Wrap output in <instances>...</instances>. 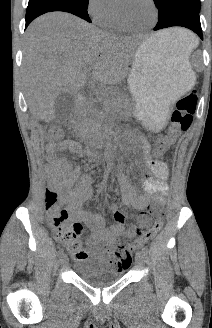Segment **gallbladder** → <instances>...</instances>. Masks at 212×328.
Returning <instances> with one entry per match:
<instances>
[{
    "label": "gallbladder",
    "mask_w": 212,
    "mask_h": 328,
    "mask_svg": "<svg viewBox=\"0 0 212 328\" xmlns=\"http://www.w3.org/2000/svg\"><path fill=\"white\" fill-rule=\"evenodd\" d=\"M76 104V96L69 93H60L54 104L55 121L63 123L69 119Z\"/></svg>",
    "instance_id": "obj_1"
}]
</instances>
